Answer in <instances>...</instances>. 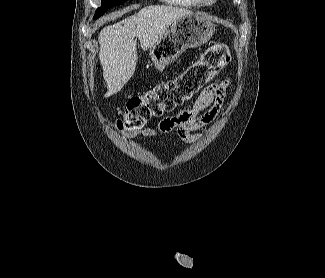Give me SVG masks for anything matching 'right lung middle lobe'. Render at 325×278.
I'll use <instances>...</instances> for the list:
<instances>
[{
  "instance_id": "obj_1",
  "label": "right lung middle lobe",
  "mask_w": 325,
  "mask_h": 278,
  "mask_svg": "<svg viewBox=\"0 0 325 278\" xmlns=\"http://www.w3.org/2000/svg\"><path fill=\"white\" fill-rule=\"evenodd\" d=\"M125 1L126 0H102V5L96 10L94 18H98L99 16L103 15L108 8L122 4Z\"/></svg>"
}]
</instances>
